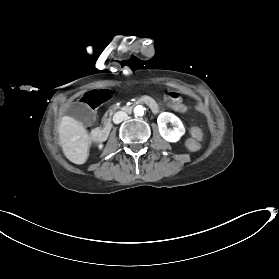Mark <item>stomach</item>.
<instances>
[{
  "label": "stomach",
  "instance_id": "1",
  "mask_svg": "<svg viewBox=\"0 0 279 279\" xmlns=\"http://www.w3.org/2000/svg\"><path fill=\"white\" fill-rule=\"evenodd\" d=\"M163 105H164L165 107H168V106L170 105V102H169L168 100H165V101L163 102ZM174 107H175L176 109H182L183 111H187V110L189 109V106H188L186 103H182V102H176V103L174 104Z\"/></svg>",
  "mask_w": 279,
  "mask_h": 279
}]
</instances>
